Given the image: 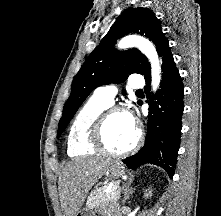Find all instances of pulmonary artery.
Instances as JSON below:
<instances>
[{"label": "pulmonary artery", "mask_w": 221, "mask_h": 216, "mask_svg": "<svg viewBox=\"0 0 221 216\" xmlns=\"http://www.w3.org/2000/svg\"><path fill=\"white\" fill-rule=\"evenodd\" d=\"M129 87L132 89L139 90L144 86V79L142 77H133L128 82ZM117 94V88L115 85H106L97 88L92 98L98 102H101L107 106H111L114 103V98Z\"/></svg>", "instance_id": "e3ab8cb5"}]
</instances>
